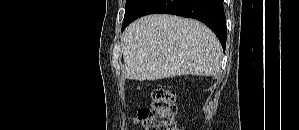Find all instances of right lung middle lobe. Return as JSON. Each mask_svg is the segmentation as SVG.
<instances>
[{
    "mask_svg": "<svg viewBox=\"0 0 299 130\" xmlns=\"http://www.w3.org/2000/svg\"><path fill=\"white\" fill-rule=\"evenodd\" d=\"M147 0H127L126 1V9L124 16V23L122 25V31L125 27L131 22L135 13L139 10V8L146 2Z\"/></svg>",
    "mask_w": 299,
    "mask_h": 130,
    "instance_id": "right-lung-middle-lobe-1",
    "label": "right lung middle lobe"
}]
</instances>
